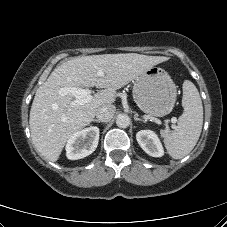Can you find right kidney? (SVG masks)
<instances>
[{
	"mask_svg": "<svg viewBox=\"0 0 227 227\" xmlns=\"http://www.w3.org/2000/svg\"><path fill=\"white\" fill-rule=\"evenodd\" d=\"M99 142V128L91 126L74 133L67 141L66 156L70 160L84 158L95 151Z\"/></svg>",
	"mask_w": 227,
	"mask_h": 227,
	"instance_id": "ca27d5eb",
	"label": "right kidney"
}]
</instances>
